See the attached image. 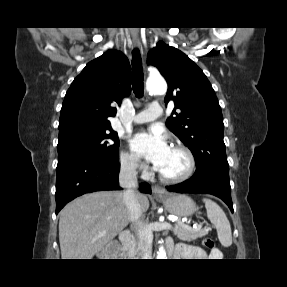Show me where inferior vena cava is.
I'll use <instances>...</instances> for the list:
<instances>
[{
  "label": "inferior vena cava",
  "instance_id": "602c4592",
  "mask_svg": "<svg viewBox=\"0 0 287 287\" xmlns=\"http://www.w3.org/2000/svg\"><path fill=\"white\" fill-rule=\"evenodd\" d=\"M119 184L125 188L123 201L128 210L130 221L137 225L140 240L143 242L142 259H151L153 235L147 225L140 222L142 210L137 197V172L134 161H124L121 163L119 173Z\"/></svg>",
  "mask_w": 287,
  "mask_h": 287
}]
</instances>
